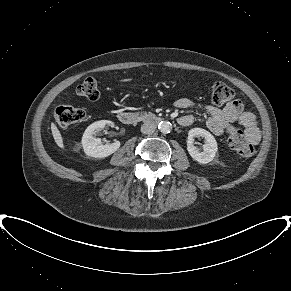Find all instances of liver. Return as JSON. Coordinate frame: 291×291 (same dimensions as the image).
I'll use <instances>...</instances> for the list:
<instances>
[{"label":"liver","mask_w":291,"mask_h":291,"mask_svg":"<svg viewBox=\"0 0 291 291\" xmlns=\"http://www.w3.org/2000/svg\"><path fill=\"white\" fill-rule=\"evenodd\" d=\"M131 80L132 79H124L121 81L127 82V81H131ZM51 131H52L53 138H54L56 144L58 145V147H60L61 149H64L63 138L61 136L60 131L58 130L57 126L54 123L51 124Z\"/></svg>","instance_id":"1"}]
</instances>
